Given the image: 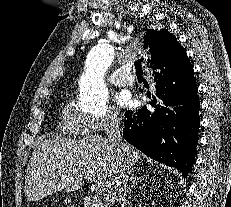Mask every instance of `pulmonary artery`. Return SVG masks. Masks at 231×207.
<instances>
[{
  "label": "pulmonary artery",
  "mask_w": 231,
  "mask_h": 207,
  "mask_svg": "<svg viewBox=\"0 0 231 207\" xmlns=\"http://www.w3.org/2000/svg\"><path fill=\"white\" fill-rule=\"evenodd\" d=\"M109 80L113 85L127 86L134 81V76L128 66H122L110 76Z\"/></svg>",
  "instance_id": "pulmonary-artery-1"
}]
</instances>
